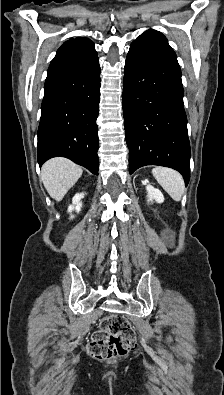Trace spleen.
Here are the masks:
<instances>
[{"label":"spleen","instance_id":"3e777b00","mask_svg":"<svg viewBox=\"0 0 224 395\" xmlns=\"http://www.w3.org/2000/svg\"><path fill=\"white\" fill-rule=\"evenodd\" d=\"M152 174L173 200H181L185 184L179 172L166 167H155L152 169Z\"/></svg>","mask_w":224,"mask_h":395}]
</instances>
